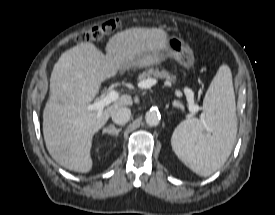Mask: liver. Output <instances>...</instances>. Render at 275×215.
Instances as JSON below:
<instances>
[{"mask_svg":"<svg viewBox=\"0 0 275 215\" xmlns=\"http://www.w3.org/2000/svg\"><path fill=\"white\" fill-rule=\"evenodd\" d=\"M163 31L132 28L111 37L103 54L92 43H80L64 52L54 65L50 96L43 112V135L51 157L62 167L87 173L92 169V138L112 113L133 104L122 95L101 114L87 106L102 82L115 77L127 61L156 49Z\"/></svg>","mask_w":275,"mask_h":215,"instance_id":"1","label":"liver"}]
</instances>
